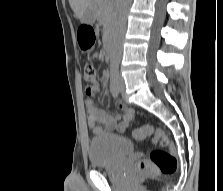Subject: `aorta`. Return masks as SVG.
I'll return each instance as SVG.
<instances>
[{"label":"aorta","instance_id":"762f6f07","mask_svg":"<svg viewBox=\"0 0 223 191\" xmlns=\"http://www.w3.org/2000/svg\"><path fill=\"white\" fill-rule=\"evenodd\" d=\"M131 0H118L113 19V32L110 39V62L119 65L122 56V42L126 18Z\"/></svg>","mask_w":223,"mask_h":191}]
</instances>
